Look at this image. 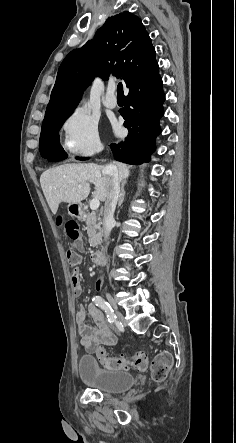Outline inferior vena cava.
Here are the masks:
<instances>
[{"mask_svg": "<svg viewBox=\"0 0 236 443\" xmlns=\"http://www.w3.org/2000/svg\"><path fill=\"white\" fill-rule=\"evenodd\" d=\"M103 174L109 178V193L104 206L103 219V235L104 240L107 241L112 225L114 222V212L120 193V180L117 168L114 165H107L103 168ZM106 248H102L105 251Z\"/></svg>", "mask_w": 236, "mask_h": 443, "instance_id": "1", "label": "inferior vena cava"}]
</instances>
